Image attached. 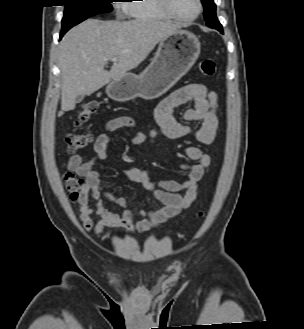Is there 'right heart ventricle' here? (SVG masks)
<instances>
[{"label":"right heart ventricle","mask_w":304,"mask_h":329,"mask_svg":"<svg viewBox=\"0 0 304 329\" xmlns=\"http://www.w3.org/2000/svg\"><path fill=\"white\" fill-rule=\"evenodd\" d=\"M126 6L130 16L135 20L157 21L169 18L159 0H132Z\"/></svg>","instance_id":"right-heart-ventricle-1"}]
</instances>
